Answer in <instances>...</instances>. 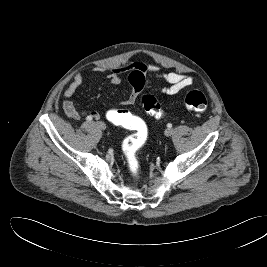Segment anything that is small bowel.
<instances>
[{"mask_svg": "<svg viewBox=\"0 0 267 267\" xmlns=\"http://www.w3.org/2000/svg\"><path fill=\"white\" fill-rule=\"evenodd\" d=\"M129 71V82L132 86V92L129 97L122 101L120 104L127 106L132 105L137 100L139 94L144 89L148 79H162L167 85L161 89V91L168 95H174L179 93L184 88L192 85L193 78L177 72L163 73L161 68L156 64H145L142 62H132L124 68H115L107 76L108 82L113 86H118L121 83L120 73L122 71ZM85 78L77 73L74 75L72 82L64 90L62 103L65 113L74 119L81 117H91L92 119H99L100 115L96 111H82L75 107L73 96L76 91L84 84Z\"/></svg>", "mask_w": 267, "mask_h": 267, "instance_id": "1", "label": "small bowel"}]
</instances>
